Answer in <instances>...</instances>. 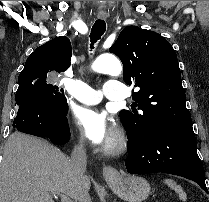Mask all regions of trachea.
I'll return each instance as SVG.
<instances>
[{"label":"trachea","instance_id":"1","mask_svg":"<svg viewBox=\"0 0 209 202\" xmlns=\"http://www.w3.org/2000/svg\"><path fill=\"white\" fill-rule=\"evenodd\" d=\"M106 31V23L102 19H98L95 21L91 33H90V40H91V46L90 48H94V44L101 38V36Z\"/></svg>","mask_w":209,"mask_h":202}]
</instances>
